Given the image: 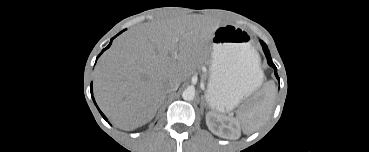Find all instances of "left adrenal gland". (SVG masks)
I'll use <instances>...</instances> for the list:
<instances>
[{"label":"left adrenal gland","instance_id":"1","mask_svg":"<svg viewBox=\"0 0 369 152\" xmlns=\"http://www.w3.org/2000/svg\"><path fill=\"white\" fill-rule=\"evenodd\" d=\"M202 98V102H201V109H203L204 105L206 106V102L203 98V96L201 97Z\"/></svg>","mask_w":369,"mask_h":152}]
</instances>
